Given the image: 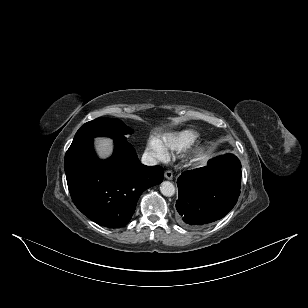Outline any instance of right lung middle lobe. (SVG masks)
I'll return each instance as SVG.
<instances>
[{
	"label": "right lung middle lobe",
	"mask_w": 308,
	"mask_h": 308,
	"mask_svg": "<svg viewBox=\"0 0 308 308\" xmlns=\"http://www.w3.org/2000/svg\"><path fill=\"white\" fill-rule=\"evenodd\" d=\"M132 133L133 130L119 119L97 118L81 126L73 142L87 138L93 139L96 136L110 137L115 141H126L125 135Z\"/></svg>",
	"instance_id": "1"
}]
</instances>
